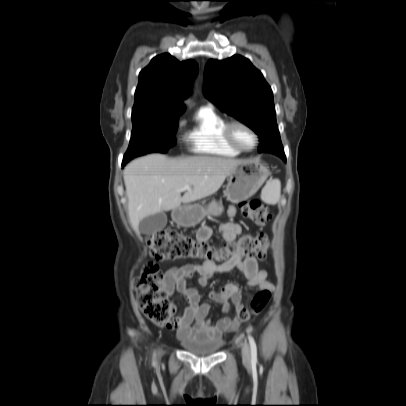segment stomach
<instances>
[{
	"label": "stomach",
	"instance_id": "obj_1",
	"mask_svg": "<svg viewBox=\"0 0 406 406\" xmlns=\"http://www.w3.org/2000/svg\"><path fill=\"white\" fill-rule=\"evenodd\" d=\"M270 172L261 162L251 159L246 160L236 167L227 176L225 196L233 203H239L253 196L266 181ZM223 207L216 201H212L207 208L199 204L180 206L172 211V219L184 227L195 226L206 215L219 216Z\"/></svg>",
	"mask_w": 406,
	"mask_h": 406
}]
</instances>
